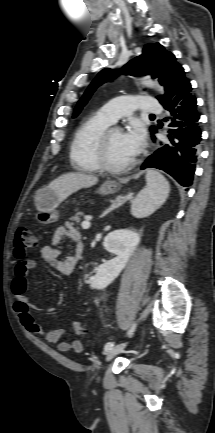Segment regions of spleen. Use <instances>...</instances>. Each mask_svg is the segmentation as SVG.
<instances>
[{"instance_id": "spleen-1", "label": "spleen", "mask_w": 215, "mask_h": 433, "mask_svg": "<svg viewBox=\"0 0 215 433\" xmlns=\"http://www.w3.org/2000/svg\"><path fill=\"white\" fill-rule=\"evenodd\" d=\"M147 186L132 202L131 213L137 218L147 217L168 198L170 185L166 178L155 170L146 172Z\"/></svg>"}]
</instances>
